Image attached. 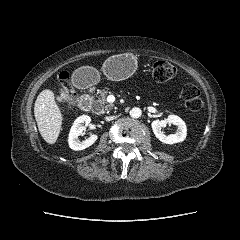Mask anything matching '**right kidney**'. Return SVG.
Listing matches in <instances>:
<instances>
[{
	"label": "right kidney",
	"instance_id": "1",
	"mask_svg": "<svg viewBox=\"0 0 240 240\" xmlns=\"http://www.w3.org/2000/svg\"><path fill=\"white\" fill-rule=\"evenodd\" d=\"M90 122L91 118L87 115H82L74 121L68 137V144L71 149L75 151L83 150L93 145L94 142L98 139V136L96 134H93L83 142H80L78 140V136L83 133V131L86 129V126H88Z\"/></svg>",
	"mask_w": 240,
	"mask_h": 240
}]
</instances>
